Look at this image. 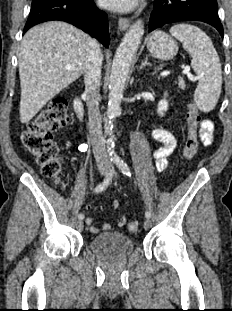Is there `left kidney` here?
Listing matches in <instances>:
<instances>
[{
	"label": "left kidney",
	"mask_w": 232,
	"mask_h": 311,
	"mask_svg": "<svg viewBox=\"0 0 232 311\" xmlns=\"http://www.w3.org/2000/svg\"><path fill=\"white\" fill-rule=\"evenodd\" d=\"M164 96H167V93H165ZM167 109H168V102L164 98L158 104L157 113L160 116H164V112L167 111Z\"/></svg>",
	"instance_id": "left-kidney-1"
}]
</instances>
